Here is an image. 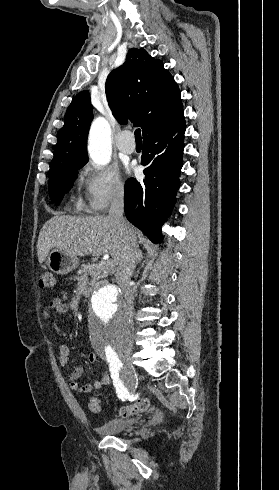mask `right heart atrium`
<instances>
[{"label":"right heart atrium","instance_id":"obj_1","mask_svg":"<svg viewBox=\"0 0 279 490\" xmlns=\"http://www.w3.org/2000/svg\"><path fill=\"white\" fill-rule=\"evenodd\" d=\"M84 191V208L91 216H100L113 203L123 199L126 186L119 172L112 168H99L87 164L79 174Z\"/></svg>","mask_w":279,"mask_h":490}]
</instances>
